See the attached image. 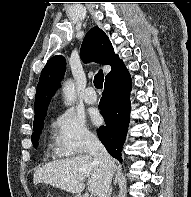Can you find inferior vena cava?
<instances>
[{"label": "inferior vena cava", "instance_id": "602c4592", "mask_svg": "<svg viewBox=\"0 0 191 197\" xmlns=\"http://www.w3.org/2000/svg\"><path fill=\"white\" fill-rule=\"evenodd\" d=\"M88 149L90 154L99 162L103 169V180L98 197H109L111 191L110 184L113 176V159L108 154L104 145L94 135L88 138Z\"/></svg>", "mask_w": 191, "mask_h": 197}]
</instances>
